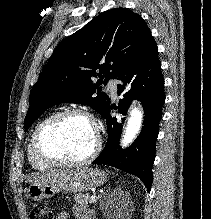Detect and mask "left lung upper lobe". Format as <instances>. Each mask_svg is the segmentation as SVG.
<instances>
[{"label":"left lung upper lobe","mask_w":211,"mask_h":219,"mask_svg":"<svg viewBox=\"0 0 211 219\" xmlns=\"http://www.w3.org/2000/svg\"><path fill=\"white\" fill-rule=\"evenodd\" d=\"M149 36L139 14L114 8L67 37L56 47L31 90L25 129L49 107L64 102L89 105L103 115L110 100L101 92L102 86L117 78ZM96 77L100 79L94 83Z\"/></svg>","instance_id":"1"}]
</instances>
